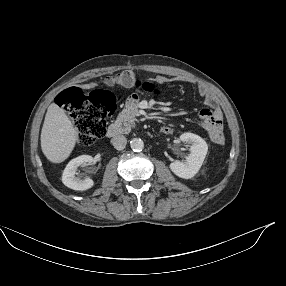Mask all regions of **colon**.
I'll return each instance as SVG.
<instances>
[{
	"label": "colon",
	"instance_id": "5ec220e1",
	"mask_svg": "<svg viewBox=\"0 0 286 286\" xmlns=\"http://www.w3.org/2000/svg\"><path fill=\"white\" fill-rule=\"evenodd\" d=\"M57 104L73 119L77 129V142L82 147L93 145L104 135L107 119L115 112V97L105 91L84 92L78 88L63 90L57 96ZM208 138L223 144L227 129L219 121L206 129Z\"/></svg>",
	"mask_w": 286,
	"mask_h": 286
}]
</instances>
